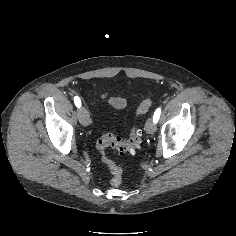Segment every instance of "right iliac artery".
I'll list each match as a JSON object with an SVG mask.
<instances>
[{"label":"right iliac artery","mask_w":236,"mask_h":236,"mask_svg":"<svg viewBox=\"0 0 236 236\" xmlns=\"http://www.w3.org/2000/svg\"><path fill=\"white\" fill-rule=\"evenodd\" d=\"M74 103L77 107H80L81 106V100L78 96H75L74 97Z\"/></svg>","instance_id":"82829eb1"}]
</instances>
